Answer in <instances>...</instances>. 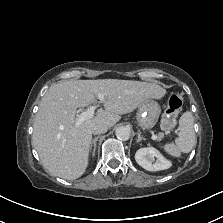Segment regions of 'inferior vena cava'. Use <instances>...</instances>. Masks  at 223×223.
Instances as JSON below:
<instances>
[{"mask_svg":"<svg viewBox=\"0 0 223 223\" xmlns=\"http://www.w3.org/2000/svg\"><path fill=\"white\" fill-rule=\"evenodd\" d=\"M108 130V127L105 124H96L92 127V133L93 134H103L106 133Z\"/></svg>","mask_w":223,"mask_h":223,"instance_id":"602c4592","label":"inferior vena cava"}]
</instances>
